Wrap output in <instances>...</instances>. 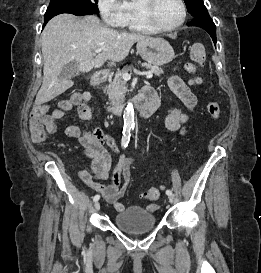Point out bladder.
<instances>
[{
  "mask_svg": "<svg viewBox=\"0 0 261 273\" xmlns=\"http://www.w3.org/2000/svg\"><path fill=\"white\" fill-rule=\"evenodd\" d=\"M156 221V216L151 210L139 205L126 207L114 217L115 226L128 233L151 231Z\"/></svg>",
  "mask_w": 261,
  "mask_h": 273,
  "instance_id": "1",
  "label": "bladder"
}]
</instances>
